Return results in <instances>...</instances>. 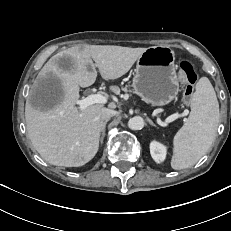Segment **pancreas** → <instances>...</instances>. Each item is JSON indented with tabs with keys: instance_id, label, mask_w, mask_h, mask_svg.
Here are the masks:
<instances>
[{
	"instance_id": "obj_1",
	"label": "pancreas",
	"mask_w": 231,
	"mask_h": 231,
	"mask_svg": "<svg viewBox=\"0 0 231 231\" xmlns=\"http://www.w3.org/2000/svg\"><path fill=\"white\" fill-rule=\"evenodd\" d=\"M123 91L127 92V91H128V89L125 87V88H123Z\"/></svg>"
}]
</instances>
